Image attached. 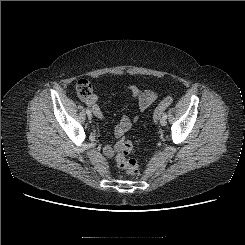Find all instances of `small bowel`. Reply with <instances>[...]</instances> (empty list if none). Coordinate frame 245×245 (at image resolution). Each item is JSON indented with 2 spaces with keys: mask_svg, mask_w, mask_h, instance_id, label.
Masks as SVG:
<instances>
[{
  "mask_svg": "<svg viewBox=\"0 0 245 245\" xmlns=\"http://www.w3.org/2000/svg\"><path fill=\"white\" fill-rule=\"evenodd\" d=\"M128 89L131 92L133 98L136 100L134 115L132 118H129L127 115H123L122 120L115 131L116 137L120 139L119 142H117L114 146L106 145L103 149V152L107 157H112L119 149V144L123 140V135L120 133V131L125 132L133 123H136L140 116L152 105V103L157 98V93L149 89L140 90L135 85H129ZM86 102L91 106L94 115L102 119L103 113L97 103L96 95H92L89 99L86 100Z\"/></svg>",
  "mask_w": 245,
  "mask_h": 245,
  "instance_id": "1",
  "label": "small bowel"
}]
</instances>
